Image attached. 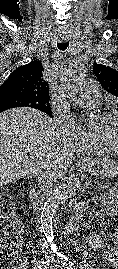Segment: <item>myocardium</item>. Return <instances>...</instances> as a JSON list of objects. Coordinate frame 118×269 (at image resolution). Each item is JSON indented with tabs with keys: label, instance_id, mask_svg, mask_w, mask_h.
Segmentation results:
<instances>
[{
	"label": "myocardium",
	"instance_id": "1",
	"mask_svg": "<svg viewBox=\"0 0 118 269\" xmlns=\"http://www.w3.org/2000/svg\"><path fill=\"white\" fill-rule=\"evenodd\" d=\"M118 115V107H113L111 109H109L108 111H106L102 117L103 118H106V119H110L114 116ZM94 140H95V143H103L105 144L106 146H108L109 148H111L114 152L118 153V142L116 141H113L107 137H104V136H97L95 135L94 136Z\"/></svg>",
	"mask_w": 118,
	"mask_h": 269
}]
</instances>
